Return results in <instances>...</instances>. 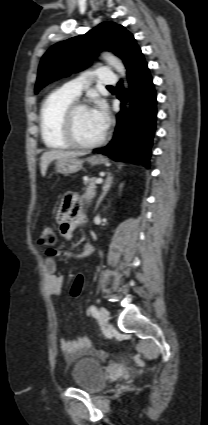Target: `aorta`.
<instances>
[{"instance_id": "obj_1", "label": "aorta", "mask_w": 208, "mask_h": 425, "mask_svg": "<svg viewBox=\"0 0 208 425\" xmlns=\"http://www.w3.org/2000/svg\"><path fill=\"white\" fill-rule=\"evenodd\" d=\"M101 57L105 61H107L112 66V68L120 74L121 77L124 78V85L127 88L128 84H127L126 78H125L126 69H125V66L123 65L122 61L119 58H117L115 55H113L112 53H109V52H103L101 54Z\"/></svg>"}]
</instances>
